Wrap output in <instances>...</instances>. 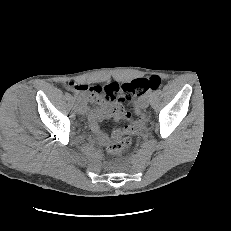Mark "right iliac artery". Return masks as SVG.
<instances>
[{
  "label": "right iliac artery",
  "instance_id": "1",
  "mask_svg": "<svg viewBox=\"0 0 231 231\" xmlns=\"http://www.w3.org/2000/svg\"><path fill=\"white\" fill-rule=\"evenodd\" d=\"M75 99H77L78 101H81V97H79L77 94H74Z\"/></svg>",
  "mask_w": 231,
  "mask_h": 231
}]
</instances>
